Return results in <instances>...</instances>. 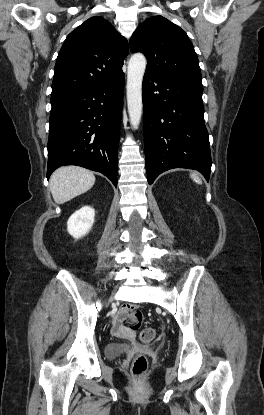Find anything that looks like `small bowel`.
Masks as SVG:
<instances>
[{"instance_id":"obj_1","label":"small bowel","mask_w":264,"mask_h":415,"mask_svg":"<svg viewBox=\"0 0 264 415\" xmlns=\"http://www.w3.org/2000/svg\"><path fill=\"white\" fill-rule=\"evenodd\" d=\"M128 313L129 308L127 306H122L112 317L111 333L114 337L119 339L132 337V331L124 325Z\"/></svg>"}]
</instances>
